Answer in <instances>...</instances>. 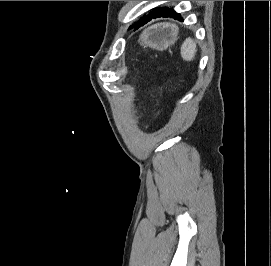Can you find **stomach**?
<instances>
[{
	"instance_id": "stomach-1",
	"label": "stomach",
	"mask_w": 271,
	"mask_h": 266,
	"mask_svg": "<svg viewBox=\"0 0 271 266\" xmlns=\"http://www.w3.org/2000/svg\"><path fill=\"white\" fill-rule=\"evenodd\" d=\"M176 28L159 24L145 30L140 36V44L156 50H164L176 41Z\"/></svg>"
}]
</instances>
